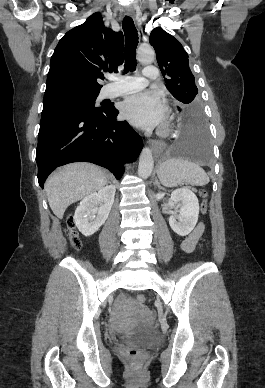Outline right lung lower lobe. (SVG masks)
I'll use <instances>...</instances> for the list:
<instances>
[{
    "mask_svg": "<svg viewBox=\"0 0 265 388\" xmlns=\"http://www.w3.org/2000/svg\"><path fill=\"white\" fill-rule=\"evenodd\" d=\"M112 105L101 111H62L41 117L36 161L38 182L43 184L58 166L88 161L109 169L117 179L124 163L135 160L143 146L141 137L126 121H116Z\"/></svg>",
    "mask_w": 265,
    "mask_h": 388,
    "instance_id": "98d812e1",
    "label": "right lung lower lobe"
}]
</instances>
